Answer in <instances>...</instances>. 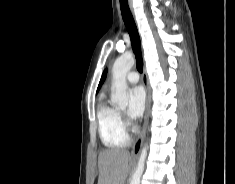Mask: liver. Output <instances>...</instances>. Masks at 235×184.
Returning a JSON list of instances; mask_svg holds the SVG:
<instances>
[{"mask_svg":"<svg viewBox=\"0 0 235 184\" xmlns=\"http://www.w3.org/2000/svg\"><path fill=\"white\" fill-rule=\"evenodd\" d=\"M130 154L127 150H103L98 158V184H124L129 174Z\"/></svg>","mask_w":235,"mask_h":184,"instance_id":"obj_1","label":"liver"}]
</instances>
